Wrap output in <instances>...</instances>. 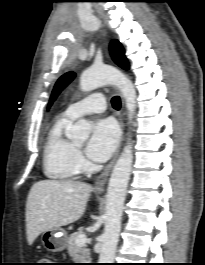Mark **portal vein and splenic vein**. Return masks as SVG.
<instances>
[{"instance_id":"obj_1","label":"portal vein and splenic vein","mask_w":205,"mask_h":265,"mask_svg":"<svg viewBox=\"0 0 205 265\" xmlns=\"http://www.w3.org/2000/svg\"><path fill=\"white\" fill-rule=\"evenodd\" d=\"M87 242V237L85 234H80L77 238H76V244L78 246H83L85 245V243Z\"/></svg>"}]
</instances>
